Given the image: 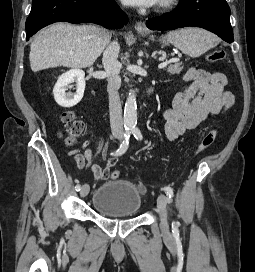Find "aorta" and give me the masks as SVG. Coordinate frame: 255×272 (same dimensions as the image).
<instances>
[{"mask_svg":"<svg viewBox=\"0 0 255 272\" xmlns=\"http://www.w3.org/2000/svg\"><path fill=\"white\" fill-rule=\"evenodd\" d=\"M123 123L126 129H133L137 124V103L135 92H130L125 103Z\"/></svg>","mask_w":255,"mask_h":272,"instance_id":"aorta-1","label":"aorta"}]
</instances>
